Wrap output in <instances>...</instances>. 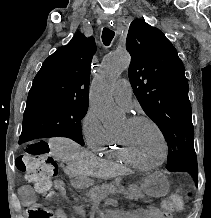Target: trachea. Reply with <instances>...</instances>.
<instances>
[{
    "mask_svg": "<svg viewBox=\"0 0 211 218\" xmlns=\"http://www.w3.org/2000/svg\"><path fill=\"white\" fill-rule=\"evenodd\" d=\"M115 32L110 30L109 28H104L102 32V41L104 45L109 46L111 41L113 40Z\"/></svg>",
    "mask_w": 211,
    "mask_h": 218,
    "instance_id": "obj_1",
    "label": "trachea"
}]
</instances>
